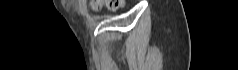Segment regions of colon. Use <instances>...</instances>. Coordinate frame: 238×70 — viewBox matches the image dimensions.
Returning <instances> with one entry per match:
<instances>
[{
	"mask_svg": "<svg viewBox=\"0 0 238 70\" xmlns=\"http://www.w3.org/2000/svg\"><path fill=\"white\" fill-rule=\"evenodd\" d=\"M92 6L95 9H101L103 7L111 11H116L122 7V1L120 0H95L92 2Z\"/></svg>",
	"mask_w": 238,
	"mask_h": 70,
	"instance_id": "obj_1",
	"label": "colon"
}]
</instances>
